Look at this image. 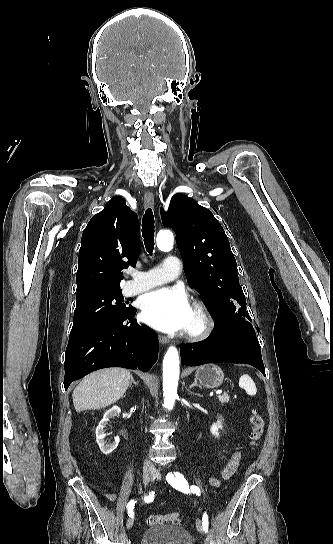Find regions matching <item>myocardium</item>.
I'll return each mask as SVG.
<instances>
[{"instance_id":"f54148a6","label":"myocardium","mask_w":333,"mask_h":544,"mask_svg":"<svg viewBox=\"0 0 333 544\" xmlns=\"http://www.w3.org/2000/svg\"><path fill=\"white\" fill-rule=\"evenodd\" d=\"M193 312L197 316V324L192 328H187L185 336L190 340H202L212 334L215 329V318L208 306L200 300L193 304Z\"/></svg>"}]
</instances>
